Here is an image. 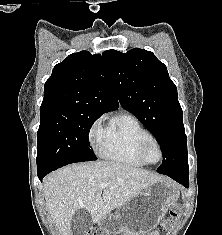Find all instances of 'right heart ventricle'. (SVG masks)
<instances>
[{
    "label": "right heart ventricle",
    "instance_id": "right-heart-ventricle-1",
    "mask_svg": "<svg viewBox=\"0 0 222 235\" xmlns=\"http://www.w3.org/2000/svg\"><path fill=\"white\" fill-rule=\"evenodd\" d=\"M153 138L141 122L129 112L114 115L105 128L98 144L99 155L110 161L132 167H143L137 150L142 141Z\"/></svg>",
    "mask_w": 222,
    "mask_h": 235
}]
</instances>
